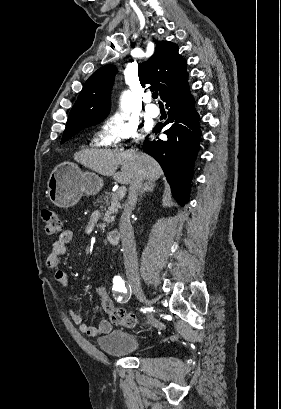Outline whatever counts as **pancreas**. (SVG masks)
<instances>
[{"label": "pancreas", "mask_w": 281, "mask_h": 409, "mask_svg": "<svg viewBox=\"0 0 281 409\" xmlns=\"http://www.w3.org/2000/svg\"><path fill=\"white\" fill-rule=\"evenodd\" d=\"M110 198V200H109ZM115 196L113 192H107L106 196H104L103 200H100L102 202V211H105V215H108V213H111L110 217H104L103 223H101V227H105V223H112V221H115L114 215H117L118 209L115 206ZM107 209H112V211H106Z\"/></svg>", "instance_id": "pancreas-1"}]
</instances>
